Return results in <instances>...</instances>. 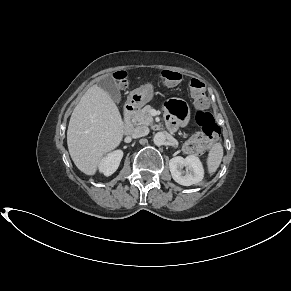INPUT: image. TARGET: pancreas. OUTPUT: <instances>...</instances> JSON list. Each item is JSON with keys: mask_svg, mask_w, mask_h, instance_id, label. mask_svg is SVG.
Returning <instances> with one entry per match:
<instances>
[{"mask_svg": "<svg viewBox=\"0 0 291 291\" xmlns=\"http://www.w3.org/2000/svg\"><path fill=\"white\" fill-rule=\"evenodd\" d=\"M151 109L150 105H146L135 114L133 121L142 125H150L153 121V117L150 114Z\"/></svg>", "mask_w": 291, "mask_h": 291, "instance_id": "pancreas-1", "label": "pancreas"}]
</instances>
